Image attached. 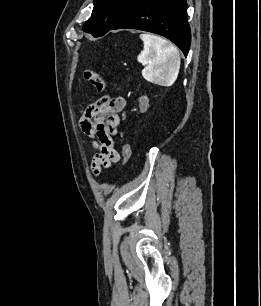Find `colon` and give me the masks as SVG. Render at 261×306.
<instances>
[{"label": "colon", "mask_w": 261, "mask_h": 306, "mask_svg": "<svg viewBox=\"0 0 261 306\" xmlns=\"http://www.w3.org/2000/svg\"><path fill=\"white\" fill-rule=\"evenodd\" d=\"M85 80L94 87L97 91H103L105 87V82L100 73L95 70H86L84 73ZM149 105L148 97L141 95L138 98V110L139 112H144ZM122 156L125 162H128L132 156L131 147L128 144L122 146Z\"/></svg>", "instance_id": "obj_1"}]
</instances>
